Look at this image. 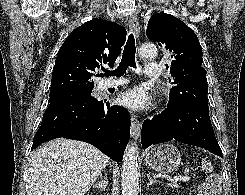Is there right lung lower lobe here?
I'll return each instance as SVG.
<instances>
[{
	"label": "right lung lower lobe",
	"instance_id": "obj_1",
	"mask_svg": "<svg viewBox=\"0 0 245 195\" xmlns=\"http://www.w3.org/2000/svg\"><path fill=\"white\" fill-rule=\"evenodd\" d=\"M61 137L92 144L120 162L130 138V116L127 109L91 96L52 102L31 149Z\"/></svg>",
	"mask_w": 245,
	"mask_h": 195
}]
</instances>
